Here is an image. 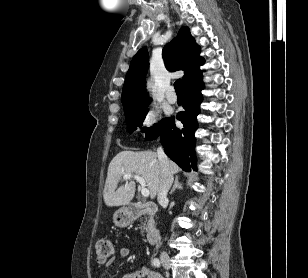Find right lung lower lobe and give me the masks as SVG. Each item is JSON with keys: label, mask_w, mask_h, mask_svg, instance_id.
Returning a JSON list of instances; mask_svg holds the SVG:
<instances>
[{"label": "right lung lower lobe", "mask_w": 308, "mask_h": 278, "mask_svg": "<svg viewBox=\"0 0 308 278\" xmlns=\"http://www.w3.org/2000/svg\"><path fill=\"white\" fill-rule=\"evenodd\" d=\"M203 88L201 78L184 89L185 111L177 115V119L183 123L184 128L178 129L175 127L174 120L169 119L159 135L167 156L185 171H191V168L196 170L194 133L197 129L196 116L200 113Z\"/></svg>", "instance_id": "obj_1"}]
</instances>
